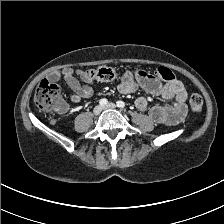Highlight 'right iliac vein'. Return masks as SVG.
I'll use <instances>...</instances> for the list:
<instances>
[{"instance_id": "obj_1", "label": "right iliac vein", "mask_w": 224, "mask_h": 224, "mask_svg": "<svg viewBox=\"0 0 224 224\" xmlns=\"http://www.w3.org/2000/svg\"><path fill=\"white\" fill-rule=\"evenodd\" d=\"M101 111H102V107L100 105H98L93 109V114L99 115L101 113Z\"/></svg>"}]
</instances>
